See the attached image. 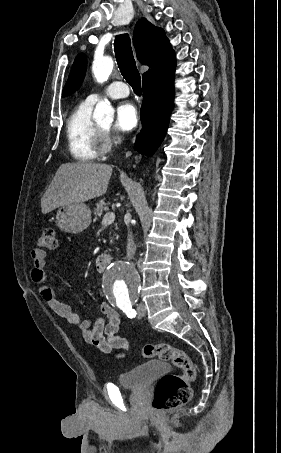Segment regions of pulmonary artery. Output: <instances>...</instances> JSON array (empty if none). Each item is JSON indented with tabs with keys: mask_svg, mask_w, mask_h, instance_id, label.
<instances>
[{
	"mask_svg": "<svg viewBox=\"0 0 281 453\" xmlns=\"http://www.w3.org/2000/svg\"><path fill=\"white\" fill-rule=\"evenodd\" d=\"M129 91L128 87L126 84L123 82L115 81L112 82L108 87L106 88L104 95H101L99 93H93L88 96V100L91 102H97L99 101L103 96L104 97H110V98H122L128 96Z\"/></svg>",
	"mask_w": 281,
	"mask_h": 453,
	"instance_id": "pulmonary-artery-1",
	"label": "pulmonary artery"
}]
</instances>
